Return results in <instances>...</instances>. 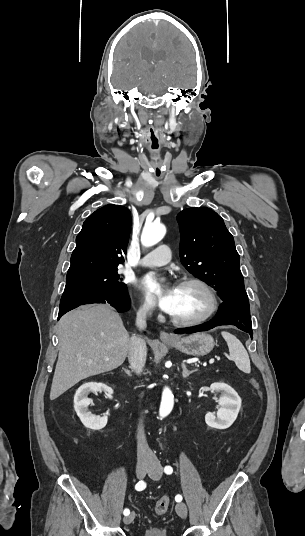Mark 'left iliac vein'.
Here are the masks:
<instances>
[{
	"label": "left iliac vein",
	"instance_id": "4c4485c4",
	"mask_svg": "<svg viewBox=\"0 0 305 536\" xmlns=\"http://www.w3.org/2000/svg\"><path fill=\"white\" fill-rule=\"evenodd\" d=\"M162 472H163L162 467L156 466L152 470L148 471V476L152 477V478H155V479H159L161 477V475H162ZM175 509H176L177 514L180 517H182V518L187 517V506L184 503L176 504Z\"/></svg>",
	"mask_w": 305,
	"mask_h": 536
}]
</instances>
